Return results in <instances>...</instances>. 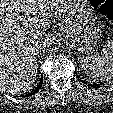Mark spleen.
<instances>
[{
  "label": "spleen",
  "mask_w": 113,
  "mask_h": 113,
  "mask_svg": "<svg viewBox=\"0 0 113 113\" xmlns=\"http://www.w3.org/2000/svg\"><path fill=\"white\" fill-rule=\"evenodd\" d=\"M84 72L94 81L113 79V41L104 45L100 54L84 56L80 59Z\"/></svg>",
  "instance_id": "1"
}]
</instances>
